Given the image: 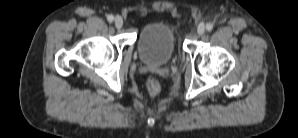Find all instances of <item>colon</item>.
Wrapping results in <instances>:
<instances>
[{
	"label": "colon",
	"instance_id": "obj_1",
	"mask_svg": "<svg viewBox=\"0 0 298 138\" xmlns=\"http://www.w3.org/2000/svg\"><path fill=\"white\" fill-rule=\"evenodd\" d=\"M147 90L150 95L155 96L160 90V84L156 79H149L147 81Z\"/></svg>",
	"mask_w": 298,
	"mask_h": 138
}]
</instances>
